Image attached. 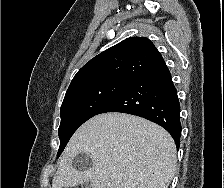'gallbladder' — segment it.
<instances>
[{
  "label": "gallbladder",
  "instance_id": "gallbladder-1",
  "mask_svg": "<svg viewBox=\"0 0 224 188\" xmlns=\"http://www.w3.org/2000/svg\"><path fill=\"white\" fill-rule=\"evenodd\" d=\"M81 188H92V182L87 181L82 184Z\"/></svg>",
  "mask_w": 224,
  "mask_h": 188
}]
</instances>
